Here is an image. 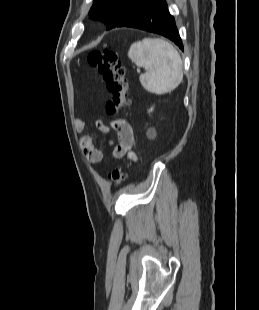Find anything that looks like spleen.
<instances>
[{"instance_id":"1","label":"spleen","mask_w":259,"mask_h":310,"mask_svg":"<svg viewBox=\"0 0 259 310\" xmlns=\"http://www.w3.org/2000/svg\"><path fill=\"white\" fill-rule=\"evenodd\" d=\"M128 57L139 67L145 68L139 80L150 93L165 94L174 90L183 79V62L178 51L167 41L144 38L134 42Z\"/></svg>"}]
</instances>
